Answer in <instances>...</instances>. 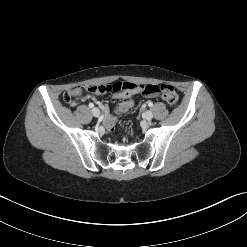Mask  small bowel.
<instances>
[{
	"mask_svg": "<svg viewBox=\"0 0 247 247\" xmlns=\"http://www.w3.org/2000/svg\"><path fill=\"white\" fill-rule=\"evenodd\" d=\"M136 94H140V93L136 92L135 90H130L127 88V89H123L121 91L114 92L113 98L118 99V100H124V102H125V100L130 99L133 95H136ZM86 99H87L86 96L82 97V100H86Z\"/></svg>",
	"mask_w": 247,
	"mask_h": 247,
	"instance_id": "1",
	"label": "small bowel"
}]
</instances>
